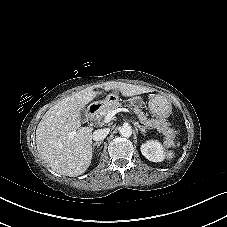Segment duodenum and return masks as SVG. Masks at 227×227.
<instances>
[{
    "mask_svg": "<svg viewBox=\"0 0 227 227\" xmlns=\"http://www.w3.org/2000/svg\"><path fill=\"white\" fill-rule=\"evenodd\" d=\"M97 112H98V106H95V105L90 106L88 108L85 121L86 122L91 121L97 115Z\"/></svg>",
    "mask_w": 227,
    "mask_h": 227,
    "instance_id": "obj_1",
    "label": "duodenum"
}]
</instances>
